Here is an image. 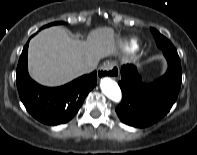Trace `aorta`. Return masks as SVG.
<instances>
[{
	"mask_svg": "<svg viewBox=\"0 0 197 155\" xmlns=\"http://www.w3.org/2000/svg\"><path fill=\"white\" fill-rule=\"evenodd\" d=\"M100 87L102 92L112 101L119 102L121 100L122 94L120 87L114 80L103 78L100 81Z\"/></svg>",
	"mask_w": 197,
	"mask_h": 155,
	"instance_id": "762f6f07",
	"label": "aorta"
}]
</instances>
